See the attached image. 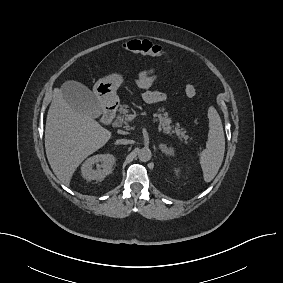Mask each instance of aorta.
<instances>
[{
    "instance_id": "762f6f07",
    "label": "aorta",
    "mask_w": 283,
    "mask_h": 283,
    "mask_svg": "<svg viewBox=\"0 0 283 283\" xmlns=\"http://www.w3.org/2000/svg\"><path fill=\"white\" fill-rule=\"evenodd\" d=\"M152 157V153L151 150L149 148H141L138 152V158L140 161L142 162H147L151 159Z\"/></svg>"
}]
</instances>
